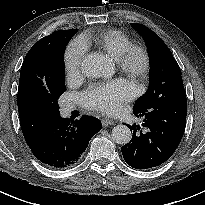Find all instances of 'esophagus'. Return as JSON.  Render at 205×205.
I'll use <instances>...</instances> for the list:
<instances>
[{"mask_svg": "<svg viewBox=\"0 0 205 205\" xmlns=\"http://www.w3.org/2000/svg\"><path fill=\"white\" fill-rule=\"evenodd\" d=\"M101 123L104 127H106L108 125L114 124L115 122L111 119H108V118H101Z\"/></svg>", "mask_w": 205, "mask_h": 205, "instance_id": "obj_1", "label": "esophagus"}]
</instances>
